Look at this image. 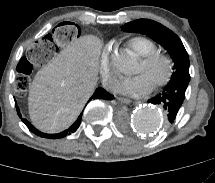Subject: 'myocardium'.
Wrapping results in <instances>:
<instances>
[{"label": "myocardium", "mask_w": 215, "mask_h": 183, "mask_svg": "<svg viewBox=\"0 0 215 183\" xmlns=\"http://www.w3.org/2000/svg\"><path fill=\"white\" fill-rule=\"evenodd\" d=\"M141 62L146 66L152 65L156 62H162L165 65V73L162 78L153 84L154 88L162 87L171 80L174 72V64L168 54L155 50L147 55L141 56Z\"/></svg>", "instance_id": "obj_1"}]
</instances>
